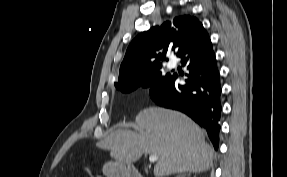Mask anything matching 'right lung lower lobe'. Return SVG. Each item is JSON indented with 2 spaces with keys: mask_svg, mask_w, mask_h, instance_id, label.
<instances>
[{
  "mask_svg": "<svg viewBox=\"0 0 287 177\" xmlns=\"http://www.w3.org/2000/svg\"><path fill=\"white\" fill-rule=\"evenodd\" d=\"M178 57L187 65L185 84H179L176 73L171 74L150 88V96L157 105L191 117L207 131L214 148L218 149L221 86L215 54L205 29L184 45Z\"/></svg>",
  "mask_w": 287,
  "mask_h": 177,
  "instance_id": "right-lung-lower-lobe-1",
  "label": "right lung lower lobe"
}]
</instances>
